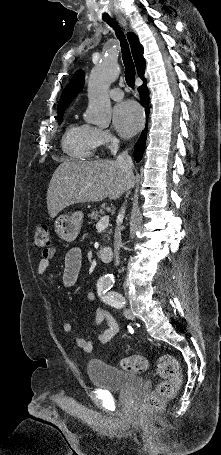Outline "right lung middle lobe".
<instances>
[{
  "label": "right lung middle lobe",
  "instance_id": "obj_1",
  "mask_svg": "<svg viewBox=\"0 0 221 455\" xmlns=\"http://www.w3.org/2000/svg\"><path fill=\"white\" fill-rule=\"evenodd\" d=\"M64 111H65V108L58 110V122L59 123L62 121V117H63Z\"/></svg>",
  "mask_w": 221,
  "mask_h": 455
}]
</instances>
